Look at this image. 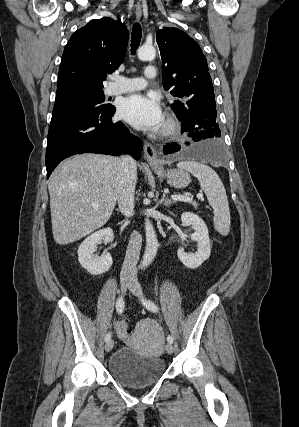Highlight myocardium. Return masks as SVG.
<instances>
[{
	"mask_svg": "<svg viewBox=\"0 0 299 427\" xmlns=\"http://www.w3.org/2000/svg\"><path fill=\"white\" fill-rule=\"evenodd\" d=\"M178 130H179V123L177 119L172 115H168L163 123V126L159 134L162 137H171L175 135L178 132Z\"/></svg>",
	"mask_w": 299,
	"mask_h": 427,
	"instance_id": "f54148a6",
	"label": "myocardium"
}]
</instances>
